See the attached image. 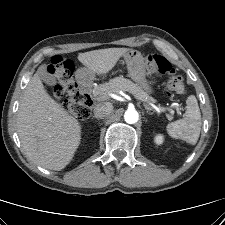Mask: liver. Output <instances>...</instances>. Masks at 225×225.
<instances>
[{"label":"liver","mask_w":225,"mask_h":225,"mask_svg":"<svg viewBox=\"0 0 225 225\" xmlns=\"http://www.w3.org/2000/svg\"><path fill=\"white\" fill-rule=\"evenodd\" d=\"M128 48H107L78 55L93 74H106ZM18 134L27 157L46 169L60 171L72 160L81 141L76 118L46 91L38 73L26 87L17 117Z\"/></svg>","instance_id":"6515ba94"}]
</instances>
